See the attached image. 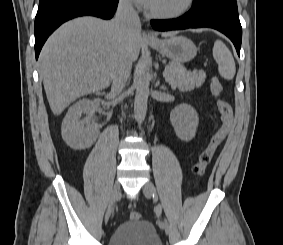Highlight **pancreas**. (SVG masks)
<instances>
[{
	"label": "pancreas",
	"mask_w": 283,
	"mask_h": 245,
	"mask_svg": "<svg viewBox=\"0 0 283 245\" xmlns=\"http://www.w3.org/2000/svg\"><path fill=\"white\" fill-rule=\"evenodd\" d=\"M164 77L173 88H178L180 91H190L204 83L206 74L203 70L186 71L183 65L170 62L165 67Z\"/></svg>",
	"instance_id": "1"
}]
</instances>
